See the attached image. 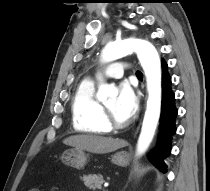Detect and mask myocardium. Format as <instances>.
<instances>
[{"label":"myocardium","instance_id":"1","mask_svg":"<svg viewBox=\"0 0 210 191\" xmlns=\"http://www.w3.org/2000/svg\"><path fill=\"white\" fill-rule=\"evenodd\" d=\"M102 109L105 123L110 130L122 129L129 124L128 121L121 122L117 120L114 114L105 106V104H102Z\"/></svg>","mask_w":210,"mask_h":191}]
</instances>
